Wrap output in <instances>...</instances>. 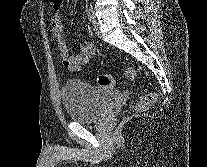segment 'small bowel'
<instances>
[{"instance_id": "small-bowel-1", "label": "small bowel", "mask_w": 207, "mask_h": 167, "mask_svg": "<svg viewBox=\"0 0 207 167\" xmlns=\"http://www.w3.org/2000/svg\"><path fill=\"white\" fill-rule=\"evenodd\" d=\"M62 4L63 0H51V5L55 11L51 18L52 32L57 40L64 67L71 72H78L83 70L85 65L89 63L94 54V46L91 43H86L76 53H69L67 43L62 37L64 32V24L60 13Z\"/></svg>"}]
</instances>
